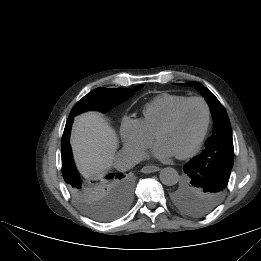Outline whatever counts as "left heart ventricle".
Masks as SVG:
<instances>
[{
	"mask_svg": "<svg viewBox=\"0 0 261 261\" xmlns=\"http://www.w3.org/2000/svg\"><path fill=\"white\" fill-rule=\"evenodd\" d=\"M205 122V109L199 102L189 103L177 122L159 135V141L168 144L176 154L190 147L199 137Z\"/></svg>",
	"mask_w": 261,
	"mask_h": 261,
	"instance_id": "obj_1",
	"label": "left heart ventricle"
}]
</instances>
